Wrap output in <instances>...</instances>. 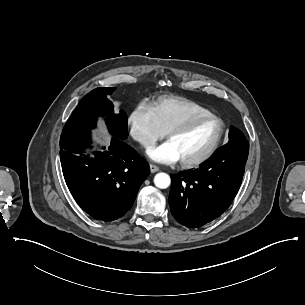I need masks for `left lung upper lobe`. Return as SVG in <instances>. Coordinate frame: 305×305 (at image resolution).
Masks as SVG:
<instances>
[{
    "instance_id": "left-lung-upper-lobe-1",
    "label": "left lung upper lobe",
    "mask_w": 305,
    "mask_h": 305,
    "mask_svg": "<svg viewBox=\"0 0 305 305\" xmlns=\"http://www.w3.org/2000/svg\"><path fill=\"white\" fill-rule=\"evenodd\" d=\"M247 141L244 134L237 128L231 126L229 131V141L227 144L242 143Z\"/></svg>"
}]
</instances>
